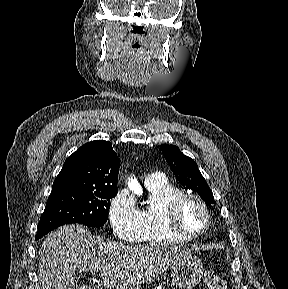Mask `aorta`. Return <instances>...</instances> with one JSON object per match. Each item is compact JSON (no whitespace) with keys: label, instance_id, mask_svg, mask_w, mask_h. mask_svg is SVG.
I'll list each match as a JSON object with an SVG mask.
<instances>
[{"label":"aorta","instance_id":"obj_1","mask_svg":"<svg viewBox=\"0 0 288 289\" xmlns=\"http://www.w3.org/2000/svg\"><path fill=\"white\" fill-rule=\"evenodd\" d=\"M128 187L134 192L135 194L141 193V187L139 186L136 179H130L128 182Z\"/></svg>","mask_w":288,"mask_h":289}]
</instances>
